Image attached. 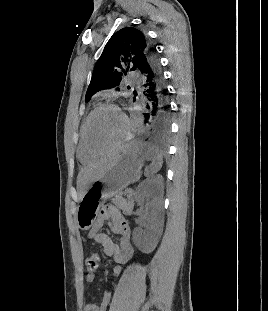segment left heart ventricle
Segmentation results:
<instances>
[{"label": "left heart ventricle", "instance_id": "b2bd125f", "mask_svg": "<svg viewBox=\"0 0 268 311\" xmlns=\"http://www.w3.org/2000/svg\"><path fill=\"white\" fill-rule=\"evenodd\" d=\"M124 130V122L120 113L111 108L98 111L90 120L88 140L97 151H105L112 147Z\"/></svg>", "mask_w": 268, "mask_h": 311}]
</instances>
